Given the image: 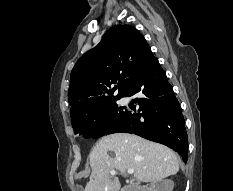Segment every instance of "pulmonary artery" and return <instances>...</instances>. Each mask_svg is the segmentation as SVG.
<instances>
[{"mask_svg": "<svg viewBox=\"0 0 233 191\" xmlns=\"http://www.w3.org/2000/svg\"><path fill=\"white\" fill-rule=\"evenodd\" d=\"M121 103H122V104H125V103H126V100H125V99H122V100H121Z\"/></svg>", "mask_w": 233, "mask_h": 191, "instance_id": "1", "label": "pulmonary artery"}]
</instances>
